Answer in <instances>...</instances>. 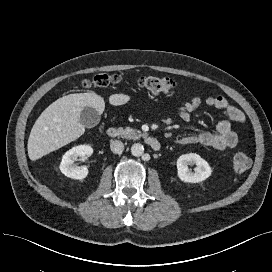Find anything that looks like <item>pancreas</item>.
I'll return each mask as SVG.
<instances>
[{"label":"pancreas","instance_id":"1","mask_svg":"<svg viewBox=\"0 0 272 272\" xmlns=\"http://www.w3.org/2000/svg\"><path fill=\"white\" fill-rule=\"evenodd\" d=\"M119 131L121 137L125 139L137 140L143 135L140 130L132 129L130 127L120 128Z\"/></svg>","mask_w":272,"mask_h":272}]
</instances>
